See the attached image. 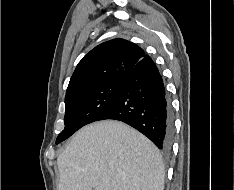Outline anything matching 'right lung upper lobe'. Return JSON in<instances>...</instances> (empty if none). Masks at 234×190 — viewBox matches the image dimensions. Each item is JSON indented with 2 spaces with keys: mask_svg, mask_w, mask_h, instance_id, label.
Masks as SVG:
<instances>
[{
  "mask_svg": "<svg viewBox=\"0 0 234 190\" xmlns=\"http://www.w3.org/2000/svg\"><path fill=\"white\" fill-rule=\"evenodd\" d=\"M144 56L146 54L139 46L120 38L96 46L78 63L65 98L82 90L123 79Z\"/></svg>",
  "mask_w": 234,
  "mask_h": 190,
  "instance_id": "cb5924a9",
  "label": "right lung upper lobe"
}]
</instances>
